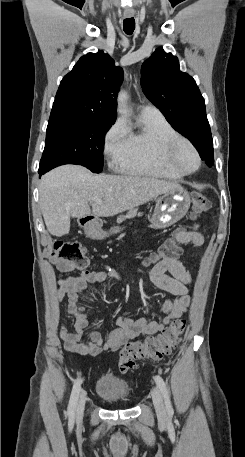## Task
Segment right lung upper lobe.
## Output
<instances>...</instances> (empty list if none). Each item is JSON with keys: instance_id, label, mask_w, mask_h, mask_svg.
I'll list each match as a JSON object with an SVG mask.
<instances>
[{"instance_id": "right-lung-upper-lobe-1", "label": "right lung upper lobe", "mask_w": 245, "mask_h": 457, "mask_svg": "<svg viewBox=\"0 0 245 457\" xmlns=\"http://www.w3.org/2000/svg\"><path fill=\"white\" fill-rule=\"evenodd\" d=\"M123 70L103 51L80 58L62 79L51 114L80 113L116 119Z\"/></svg>"}]
</instances>
